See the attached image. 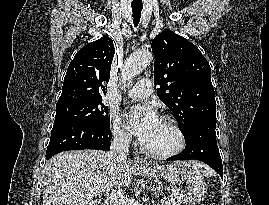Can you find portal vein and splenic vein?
Listing matches in <instances>:
<instances>
[{
  "label": "portal vein and splenic vein",
  "mask_w": 269,
  "mask_h": 205,
  "mask_svg": "<svg viewBox=\"0 0 269 205\" xmlns=\"http://www.w3.org/2000/svg\"><path fill=\"white\" fill-rule=\"evenodd\" d=\"M90 189V192H92L95 196L102 195V192L100 189Z\"/></svg>",
  "instance_id": "18ae733b"
}]
</instances>
